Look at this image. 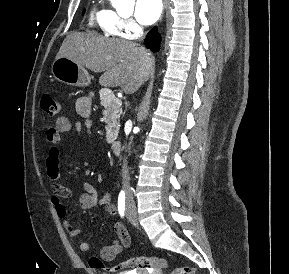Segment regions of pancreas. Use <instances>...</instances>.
I'll return each mask as SVG.
<instances>
[{"label": "pancreas", "mask_w": 289, "mask_h": 274, "mask_svg": "<svg viewBox=\"0 0 289 274\" xmlns=\"http://www.w3.org/2000/svg\"><path fill=\"white\" fill-rule=\"evenodd\" d=\"M101 105L104 107L103 115L106 126V140L108 143H113L118 136L119 132V118L122 113L121 103H117V98L114 93L108 89L100 91Z\"/></svg>", "instance_id": "pancreas-1"}]
</instances>
